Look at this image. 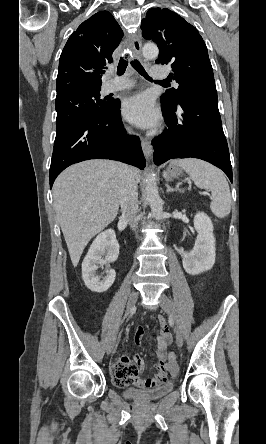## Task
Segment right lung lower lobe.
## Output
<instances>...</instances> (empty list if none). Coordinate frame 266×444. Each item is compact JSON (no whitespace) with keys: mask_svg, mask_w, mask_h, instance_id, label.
<instances>
[{"mask_svg":"<svg viewBox=\"0 0 266 444\" xmlns=\"http://www.w3.org/2000/svg\"><path fill=\"white\" fill-rule=\"evenodd\" d=\"M120 101L106 114L76 123L56 134L50 166V188L68 166L89 159H111L144 169L146 162L137 136H127ZM127 141V143H124Z\"/></svg>","mask_w":266,"mask_h":444,"instance_id":"98d812e1","label":"right lung lower lobe"}]
</instances>
